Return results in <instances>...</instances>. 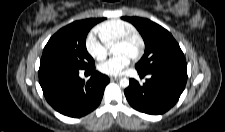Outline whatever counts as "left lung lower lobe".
I'll list each match as a JSON object with an SVG mask.
<instances>
[{
    "label": "left lung lower lobe",
    "instance_id": "0a47b994",
    "mask_svg": "<svg viewBox=\"0 0 225 132\" xmlns=\"http://www.w3.org/2000/svg\"><path fill=\"white\" fill-rule=\"evenodd\" d=\"M140 77L151 75L143 85L130 79L124 93L129 104L138 111L158 115L168 111L178 101L187 81V69L158 68L148 73L139 72Z\"/></svg>",
    "mask_w": 225,
    "mask_h": 132
}]
</instances>
